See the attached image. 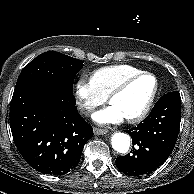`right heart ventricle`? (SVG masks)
Returning <instances> with one entry per match:
<instances>
[{
	"label": "right heart ventricle",
	"instance_id": "right-heart-ventricle-1",
	"mask_svg": "<svg viewBox=\"0 0 194 194\" xmlns=\"http://www.w3.org/2000/svg\"><path fill=\"white\" fill-rule=\"evenodd\" d=\"M131 65H112L97 69L91 74V82L97 92L104 98L125 78L141 72Z\"/></svg>",
	"mask_w": 194,
	"mask_h": 194
}]
</instances>
